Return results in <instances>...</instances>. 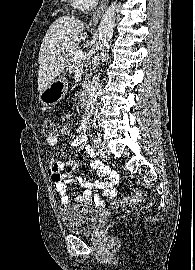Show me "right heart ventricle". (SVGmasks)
<instances>
[{
	"label": "right heart ventricle",
	"mask_w": 195,
	"mask_h": 270,
	"mask_svg": "<svg viewBox=\"0 0 195 270\" xmlns=\"http://www.w3.org/2000/svg\"><path fill=\"white\" fill-rule=\"evenodd\" d=\"M70 1L74 8L79 9L81 11L88 10L91 6V4L85 0H70Z\"/></svg>",
	"instance_id": "e07e8e85"
}]
</instances>
